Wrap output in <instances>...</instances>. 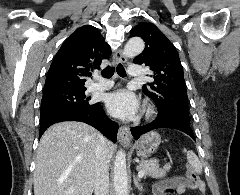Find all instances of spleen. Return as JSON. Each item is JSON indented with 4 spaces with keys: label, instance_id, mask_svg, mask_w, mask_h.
Returning a JSON list of instances; mask_svg holds the SVG:
<instances>
[{
    "label": "spleen",
    "instance_id": "spleen-1",
    "mask_svg": "<svg viewBox=\"0 0 240 195\" xmlns=\"http://www.w3.org/2000/svg\"><path fill=\"white\" fill-rule=\"evenodd\" d=\"M183 151H186L187 159L195 171L202 173V163H200L196 153H194V151H187L186 147H184Z\"/></svg>",
    "mask_w": 240,
    "mask_h": 195
}]
</instances>
